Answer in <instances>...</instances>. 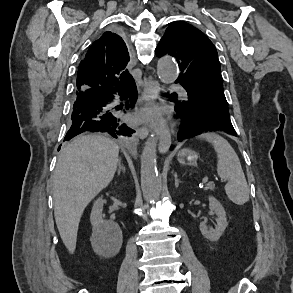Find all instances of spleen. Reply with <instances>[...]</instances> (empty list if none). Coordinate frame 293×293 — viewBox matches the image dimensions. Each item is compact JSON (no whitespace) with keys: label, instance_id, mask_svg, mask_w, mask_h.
I'll return each mask as SVG.
<instances>
[{"label":"spleen","instance_id":"1","mask_svg":"<svg viewBox=\"0 0 293 293\" xmlns=\"http://www.w3.org/2000/svg\"><path fill=\"white\" fill-rule=\"evenodd\" d=\"M198 138L213 145L217 153V174L227 181L225 192L228 198L237 205L245 204L249 200V188L240 160L232 146L226 139L213 132L203 133Z\"/></svg>","mask_w":293,"mask_h":293}]
</instances>
